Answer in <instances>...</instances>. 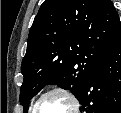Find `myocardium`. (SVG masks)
Listing matches in <instances>:
<instances>
[{"instance_id":"myocardium-1","label":"myocardium","mask_w":121,"mask_h":113,"mask_svg":"<svg viewBox=\"0 0 121 113\" xmlns=\"http://www.w3.org/2000/svg\"><path fill=\"white\" fill-rule=\"evenodd\" d=\"M52 94H61L64 98H66L70 104H71V110L68 113H73V111H76L79 109V100L78 98L68 89L63 88V87H55L52 88L46 92H44L35 102L34 106H33V111L34 113H39V105L40 103L47 97L50 96Z\"/></svg>"}]
</instances>
